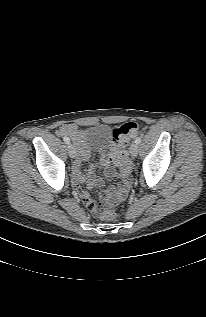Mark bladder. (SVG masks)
Returning a JSON list of instances; mask_svg holds the SVG:
<instances>
[{"label":"bladder","instance_id":"1","mask_svg":"<svg viewBox=\"0 0 206 317\" xmlns=\"http://www.w3.org/2000/svg\"><path fill=\"white\" fill-rule=\"evenodd\" d=\"M114 141L113 129L107 125L92 126L82 132V143L86 147L112 148Z\"/></svg>","mask_w":206,"mask_h":317}]
</instances>
